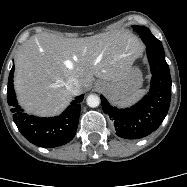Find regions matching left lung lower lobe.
<instances>
[{
	"instance_id": "1",
	"label": "left lung lower lobe",
	"mask_w": 187,
	"mask_h": 187,
	"mask_svg": "<svg viewBox=\"0 0 187 187\" xmlns=\"http://www.w3.org/2000/svg\"><path fill=\"white\" fill-rule=\"evenodd\" d=\"M152 78L147 95L126 109L112 107L101 96L103 111L114 122L116 134L125 139L143 138L155 131L167 115L171 101V76L163 48L147 44Z\"/></svg>"
}]
</instances>
